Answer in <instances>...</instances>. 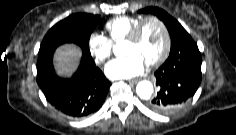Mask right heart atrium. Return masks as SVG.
Returning <instances> with one entry per match:
<instances>
[{
	"label": "right heart atrium",
	"mask_w": 236,
	"mask_h": 135,
	"mask_svg": "<svg viewBox=\"0 0 236 135\" xmlns=\"http://www.w3.org/2000/svg\"><path fill=\"white\" fill-rule=\"evenodd\" d=\"M87 44L91 56L98 65H102L112 53L113 44L103 34L91 33Z\"/></svg>",
	"instance_id": "d8ad5b80"
}]
</instances>
